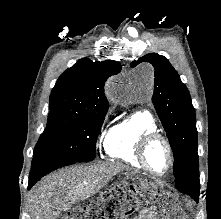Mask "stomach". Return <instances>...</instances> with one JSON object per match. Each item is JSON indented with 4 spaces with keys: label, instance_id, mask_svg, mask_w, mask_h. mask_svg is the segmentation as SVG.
I'll list each match as a JSON object with an SVG mask.
<instances>
[{
    "label": "stomach",
    "instance_id": "stomach-1",
    "mask_svg": "<svg viewBox=\"0 0 221 219\" xmlns=\"http://www.w3.org/2000/svg\"><path fill=\"white\" fill-rule=\"evenodd\" d=\"M142 183H151L155 189L146 194V199H171L170 190H164L160 183L153 182V178H142Z\"/></svg>",
    "mask_w": 221,
    "mask_h": 219
}]
</instances>
